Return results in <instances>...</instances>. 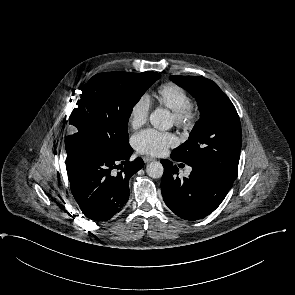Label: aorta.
<instances>
[{"mask_svg": "<svg viewBox=\"0 0 295 295\" xmlns=\"http://www.w3.org/2000/svg\"><path fill=\"white\" fill-rule=\"evenodd\" d=\"M149 120L151 125L159 130H168L172 127L171 114L166 109L158 108L154 110L150 114ZM146 172L151 178L157 179L162 177L164 168L160 162L154 161L147 165Z\"/></svg>", "mask_w": 295, "mask_h": 295, "instance_id": "762f6f07", "label": "aorta"}]
</instances>
